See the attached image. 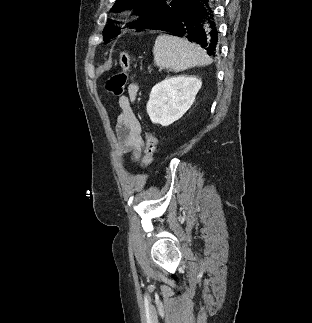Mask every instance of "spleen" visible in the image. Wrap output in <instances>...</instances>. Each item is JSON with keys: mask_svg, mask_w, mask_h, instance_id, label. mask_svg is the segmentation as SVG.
I'll return each instance as SVG.
<instances>
[{"mask_svg": "<svg viewBox=\"0 0 312 323\" xmlns=\"http://www.w3.org/2000/svg\"><path fill=\"white\" fill-rule=\"evenodd\" d=\"M152 52L154 64L158 68H170L173 72H183L194 66H208L212 62L198 44L169 34H161L156 38Z\"/></svg>", "mask_w": 312, "mask_h": 323, "instance_id": "obj_1", "label": "spleen"}]
</instances>
